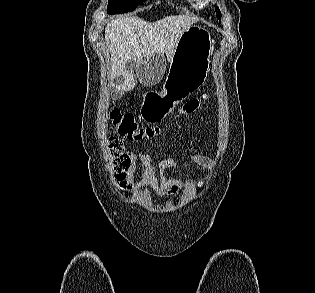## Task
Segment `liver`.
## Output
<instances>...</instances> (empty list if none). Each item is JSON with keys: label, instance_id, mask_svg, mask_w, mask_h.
I'll return each instance as SVG.
<instances>
[{"label": "liver", "instance_id": "6515ba94", "mask_svg": "<svg viewBox=\"0 0 315 293\" xmlns=\"http://www.w3.org/2000/svg\"><path fill=\"white\" fill-rule=\"evenodd\" d=\"M196 22V18L186 15H171L153 23L136 16L110 21L105 40L111 55V72L123 79L116 85L117 90L122 93L135 87L133 75L126 70L130 60L140 64L154 54L165 53L170 61L180 36Z\"/></svg>", "mask_w": 315, "mask_h": 293}]
</instances>
